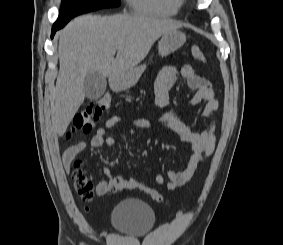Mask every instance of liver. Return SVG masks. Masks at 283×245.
<instances>
[{"mask_svg":"<svg viewBox=\"0 0 283 245\" xmlns=\"http://www.w3.org/2000/svg\"><path fill=\"white\" fill-rule=\"evenodd\" d=\"M180 27L172 20L143 15H84L71 21L59 32L60 69L52 119L56 133L64 135L83 104L88 73L113 79L136 67L162 35Z\"/></svg>","mask_w":283,"mask_h":245,"instance_id":"obj_1","label":"liver"}]
</instances>
